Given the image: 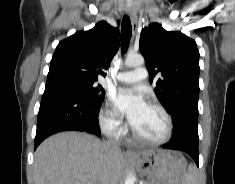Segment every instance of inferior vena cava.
Here are the masks:
<instances>
[{"instance_id":"1","label":"inferior vena cava","mask_w":235,"mask_h":184,"mask_svg":"<svg viewBox=\"0 0 235 184\" xmlns=\"http://www.w3.org/2000/svg\"><path fill=\"white\" fill-rule=\"evenodd\" d=\"M104 144L110 146V150H118V152H121L117 140H113V138H109V140H107V142H104Z\"/></svg>"}]
</instances>
